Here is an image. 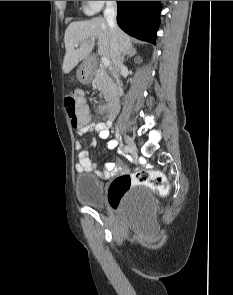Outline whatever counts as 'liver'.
Masks as SVG:
<instances>
[{"instance_id": "obj_1", "label": "liver", "mask_w": 233, "mask_h": 295, "mask_svg": "<svg viewBox=\"0 0 233 295\" xmlns=\"http://www.w3.org/2000/svg\"><path fill=\"white\" fill-rule=\"evenodd\" d=\"M96 39L98 53L112 59L111 32L106 19L95 17L69 24L64 36L66 53L62 70L65 74H68L81 60L87 58ZM117 40L121 52H127L133 48L130 37L119 28H117ZM75 44H79V48L75 49Z\"/></svg>"}]
</instances>
